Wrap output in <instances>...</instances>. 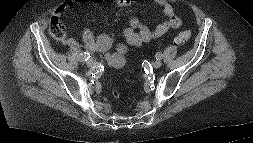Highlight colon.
<instances>
[{
  "mask_svg": "<svg viewBox=\"0 0 253 143\" xmlns=\"http://www.w3.org/2000/svg\"><path fill=\"white\" fill-rule=\"evenodd\" d=\"M49 32L51 36L57 40L61 41L65 39V36H66L65 27L62 24V22L55 16H53L50 19ZM190 38H191V33L189 31H182L176 36L175 42L177 44H185L189 41ZM109 60L110 62L117 63L119 66H122L125 63V61L120 60L116 58L115 56L111 57ZM112 94L115 98L119 97V92L117 90H113Z\"/></svg>",
  "mask_w": 253,
  "mask_h": 143,
  "instance_id": "1",
  "label": "colon"
}]
</instances>
